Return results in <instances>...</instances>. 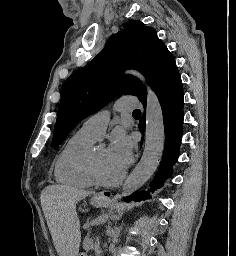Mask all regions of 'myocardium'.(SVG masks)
<instances>
[{
	"instance_id": "f54148a6",
	"label": "myocardium",
	"mask_w": 236,
	"mask_h": 256,
	"mask_svg": "<svg viewBox=\"0 0 236 256\" xmlns=\"http://www.w3.org/2000/svg\"><path fill=\"white\" fill-rule=\"evenodd\" d=\"M90 165L91 171L94 178L95 183L102 187H115L121 184L125 178V172H120L118 175L114 177L105 176L98 165L94 161L93 157H90Z\"/></svg>"
}]
</instances>
